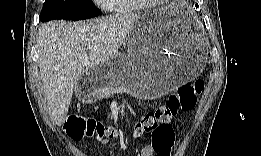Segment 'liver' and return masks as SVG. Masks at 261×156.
I'll use <instances>...</instances> for the list:
<instances>
[{"mask_svg": "<svg viewBox=\"0 0 261 156\" xmlns=\"http://www.w3.org/2000/svg\"><path fill=\"white\" fill-rule=\"evenodd\" d=\"M140 16L129 13L77 23L55 20L40 26L36 38L40 78L56 125L64 123L81 76L118 53Z\"/></svg>", "mask_w": 261, "mask_h": 156, "instance_id": "6515ba94", "label": "liver"}]
</instances>
